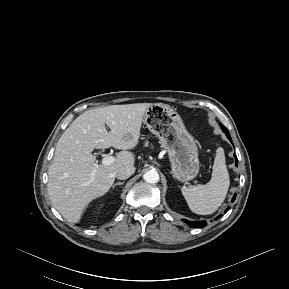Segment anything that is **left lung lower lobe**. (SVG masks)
I'll list each match as a JSON object with an SVG mask.
<instances>
[{"label":"left lung lower lobe","mask_w":289,"mask_h":289,"mask_svg":"<svg viewBox=\"0 0 289 289\" xmlns=\"http://www.w3.org/2000/svg\"><path fill=\"white\" fill-rule=\"evenodd\" d=\"M225 134H226L227 138L230 140V142L233 144L229 132H225ZM234 157H235V160H236L235 163H236V165H237L238 159H237L236 154H234ZM235 197H236V194H235L234 197H233V201L235 200ZM229 208H230V207H228V209H229ZM228 209H227V210H228ZM227 210L225 211V213L227 212ZM219 217H220V216H218L216 219H218ZM184 222H185L186 224H188L189 226L195 227V228H202V227L206 226L205 221H188V220H184Z\"/></svg>","instance_id":"obj_1"}]
</instances>
